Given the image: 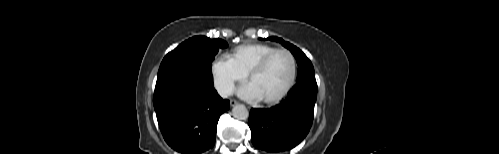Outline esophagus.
<instances>
[{
	"mask_svg": "<svg viewBox=\"0 0 499 154\" xmlns=\"http://www.w3.org/2000/svg\"><path fill=\"white\" fill-rule=\"evenodd\" d=\"M237 104H238V101H236V100H234V99L230 100V106H231V107H233V106H235V105H237Z\"/></svg>",
	"mask_w": 499,
	"mask_h": 154,
	"instance_id": "1",
	"label": "esophagus"
}]
</instances>
